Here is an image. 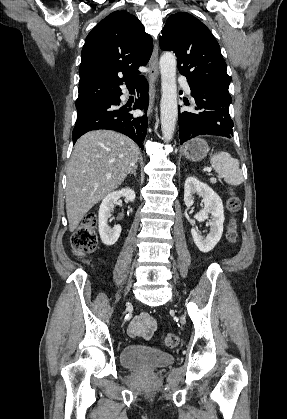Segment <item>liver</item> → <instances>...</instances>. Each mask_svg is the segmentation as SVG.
I'll list each match as a JSON object with an SVG mask.
<instances>
[{"label": "liver", "mask_w": 287, "mask_h": 419, "mask_svg": "<svg viewBox=\"0 0 287 419\" xmlns=\"http://www.w3.org/2000/svg\"><path fill=\"white\" fill-rule=\"evenodd\" d=\"M138 155L133 140L111 130L91 131L78 139L67 166L65 201L70 232L96 203L121 185Z\"/></svg>", "instance_id": "1"}]
</instances>
